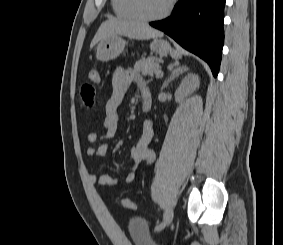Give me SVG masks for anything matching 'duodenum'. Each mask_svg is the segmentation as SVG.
Returning a JSON list of instances; mask_svg holds the SVG:
<instances>
[{"label": "duodenum", "instance_id": "obj_1", "mask_svg": "<svg viewBox=\"0 0 283 245\" xmlns=\"http://www.w3.org/2000/svg\"><path fill=\"white\" fill-rule=\"evenodd\" d=\"M152 107V97L150 95L143 96V109L149 111Z\"/></svg>", "mask_w": 283, "mask_h": 245}]
</instances>
